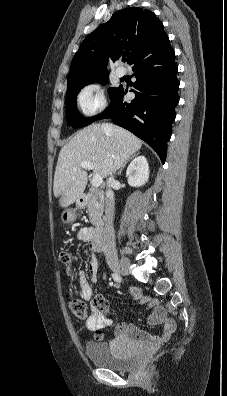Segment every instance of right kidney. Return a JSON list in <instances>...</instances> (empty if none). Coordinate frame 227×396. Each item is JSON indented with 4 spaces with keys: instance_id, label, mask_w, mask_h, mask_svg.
<instances>
[{
    "instance_id": "right-kidney-1",
    "label": "right kidney",
    "mask_w": 227,
    "mask_h": 396,
    "mask_svg": "<svg viewBox=\"0 0 227 396\" xmlns=\"http://www.w3.org/2000/svg\"><path fill=\"white\" fill-rule=\"evenodd\" d=\"M128 184L132 187L144 185L149 178V165L144 156L135 158L126 171Z\"/></svg>"
}]
</instances>
